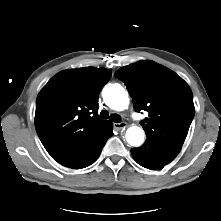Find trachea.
Instances as JSON below:
<instances>
[{
	"label": "trachea",
	"instance_id": "3493384b",
	"mask_svg": "<svg viewBox=\"0 0 221 221\" xmlns=\"http://www.w3.org/2000/svg\"><path fill=\"white\" fill-rule=\"evenodd\" d=\"M101 119H110L112 122L119 123L121 121V117L118 114H111L109 116V112L107 110H103L100 112Z\"/></svg>",
	"mask_w": 221,
	"mask_h": 221
}]
</instances>
